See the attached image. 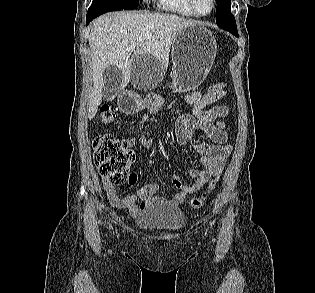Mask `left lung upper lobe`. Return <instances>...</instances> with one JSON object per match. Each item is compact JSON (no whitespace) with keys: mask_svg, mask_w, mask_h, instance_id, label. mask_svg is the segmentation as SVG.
Segmentation results:
<instances>
[{"mask_svg":"<svg viewBox=\"0 0 315 293\" xmlns=\"http://www.w3.org/2000/svg\"><path fill=\"white\" fill-rule=\"evenodd\" d=\"M216 23L217 25L238 36L235 17L231 13V0H216Z\"/></svg>","mask_w":315,"mask_h":293,"instance_id":"1","label":"left lung upper lobe"}]
</instances>
